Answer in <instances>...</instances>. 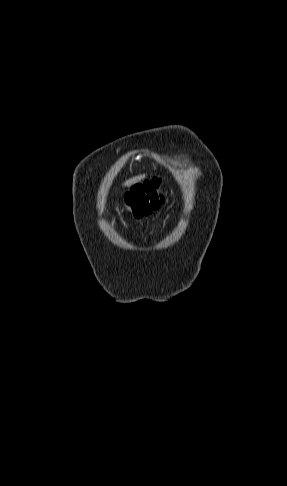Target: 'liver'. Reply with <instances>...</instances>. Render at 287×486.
<instances>
[{"mask_svg":"<svg viewBox=\"0 0 287 486\" xmlns=\"http://www.w3.org/2000/svg\"><path fill=\"white\" fill-rule=\"evenodd\" d=\"M145 178V174L143 175H139V176H135L129 180H126L125 183L123 184L124 186H131L133 184H136L138 183L139 181H141L142 179Z\"/></svg>","mask_w":287,"mask_h":486,"instance_id":"obj_1","label":"liver"}]
</instances>
